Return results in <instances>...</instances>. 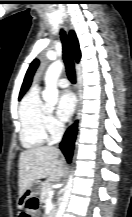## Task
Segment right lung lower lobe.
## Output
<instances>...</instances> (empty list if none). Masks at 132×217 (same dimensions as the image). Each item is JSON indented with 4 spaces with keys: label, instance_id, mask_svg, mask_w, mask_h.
<instances>
[{
    "label": "right lung lower lobe",
    "instance_id": "1",
    "mask_svg": "<svg viewBox=\"0 0 132 217\" xmlns=\"http://www.w3.org/2000/svg\"><path fill=\"white\" fill-rule=\"evenodd\" d=\"M76 133H77V122L68 129L60 145V148L63 151L69 163L71 162V158L73 154Z\"/></svg>",
    "mask_w": 132,
    "mask_h": 217
}]
</instances>
